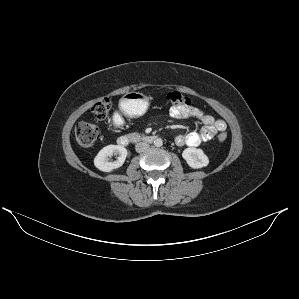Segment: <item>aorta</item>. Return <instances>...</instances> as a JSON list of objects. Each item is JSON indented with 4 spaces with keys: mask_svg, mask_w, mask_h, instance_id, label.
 Instances as JSON below:
<instances>
[{
    "mask_svg": "<svg viewBox=\"0 0 299 299\" xmlns=\"http://www.w3.org/2000/svg\"><path fill=\"white\" fill-rule=\"evenodd\" d=\"M163 145V141L161 138H157L155 141H154V146L155 147H161Z\"/></svg>",
    "mask_w": 299,
    "mask_h": 299,
    "instance_id": "1",
    "label": "aorta"
}]
</instances>
